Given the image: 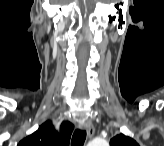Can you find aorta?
<instances>
[{"label":"aorta","instance_id":"obj_1","mask_svg":"<svg viewBox=\"0 0 164 146\" xmlns=\"http://www.w3.org/2000/svg\"><path fill=\"white\" fill-rule=\"evenodd\" d=\"M108 143L104 139H95L92 142H90V146H107Z\"/></svg>","mask_w":164,"mask_h":146}]
</instances>
